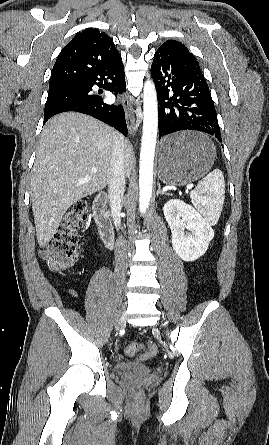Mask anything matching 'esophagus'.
Wrapping results in <instances>:
<instances>
[{
    "mask_svg": "<svg viewBox=\"0 0 269 445\" xmlns=\"http://www.w3.org/2000/svg\"><path fill=\"white\" fill-rule=\"evenodd\" d=\"M122 105L125 111L128 132L129 134L134 135L135 118L127 93L122 94Z\"/></svg>",
    "mask_w": 269,
    "mask_h": 445,
    "instance_id": "34e87169",
    "label": "esophagus"
}]
</instances>
